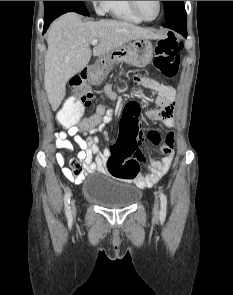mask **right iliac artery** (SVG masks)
Instances as JSON below:
<instances>
[{
	"label": "right iliac artery",
	"instance_id": "obj_1",
	"mask_svg": "<svg viewBox=\"0 0 233 295\" xmlns=\"http://www.w3.org/2000/svg\"><path fill=\"white\" fill-rule=\"evenodd\" d=\"M70 198H71V191L66 192L65 198H64V204H65V214L68 220L72 219V212L70 209Z\"/></svg>",
	"mask_w": 233,
	"mask_h": 295
}]
</instances>
